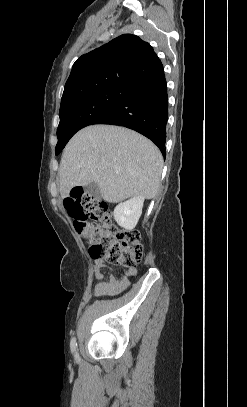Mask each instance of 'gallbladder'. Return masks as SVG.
<instances>
[{"label": "gallbladder", "instance_id": "bac80fb5", "mask_svg": "<svg viewBox=\"0 0 247 407\" xmlns=\"http://www.w3.org/2000/svg\"><path fill=\"white\" fill-rule=\"evenodd\" d=\"M85 194L93 197L95 200L99 201L102 198L100 188L96 182L89 183L84 187Z\"/></svg>", "mask_w": 247, "mask_h": 407}]
</instances>
